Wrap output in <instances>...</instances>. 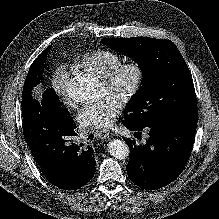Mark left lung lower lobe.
Segmentation results:
<instances>
[{
    "instance_id": "0a47b994",
    "label": "left lung lower lobe",
    "mask_w": 219,
    "mask_h": 219,
    "mask_svg": "<svg viewBox=\"0 0 219 219\" xmlns=\"http://www.w3.org/2000/svg\"><path fill=\"white\" fill-rule=\"evenodd\" d=\"M122 123L131 131L145 128L125 120ZM196 126L197 117L147 126L150 137L146 144L138 147L135 141L124 139L130 145V160L126 166L130 180L147 190L159 189L174 181L191 155Z\"/></svg>"
}]
</instances>
